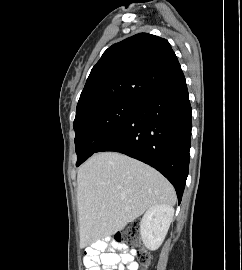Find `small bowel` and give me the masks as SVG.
<instances>
[{"label":"small bowel","instance_id":"obj_1","mask_svg":"<svg viewBox=\"0 0 242 270\" xmlns=\"http://www.w3.org/2000/svg\"><path fill=\"white\" fill-rule=\"evenodd\" d=\"M119 252V253H118ZM136 251L127 246L108 241H100L87 250L86 270H138Z\"/></svg>","mask_w":242,"mask_h":270}]
</instances>
